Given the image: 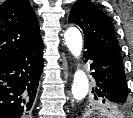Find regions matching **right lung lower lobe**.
Masks as SVG:
<instances>
[{
  "label": "right lung lower lobe",
  "mask_w": 133,
  "mask_h": 118,
  "mask_svg": "<svg viewBox=\"0 0 133 118\" xmlns=\"http://www.w3.org/2000/svg\"><path fill=\"white\" fill-rule=\"evenodd\" d=\"M42 70V41L0 62V118H27Z\"/></svg>",
  "instance_id": "1"
}]
</instances>
